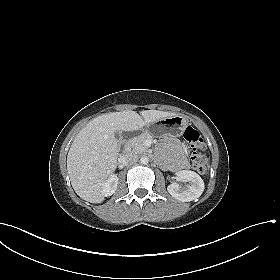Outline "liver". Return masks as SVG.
Returning a JSON list of instances; mask_svg holds the SVG:
<instances>
[{
  "instance_id": "1",
  "label": "liver",
  "mask_w": 280,
  "mask_h": 280,
  "mask_svg": "<svg viewBox=\"0 0 280 280\" xmlns=\"http://www.w3.org/2000/svg\"><path fill=\"white\" fill-rule=\"evenodd\" d=\"M175 113L144 110L103 114L91 120L75 137L68 155L67 171L77 195L90 202L104 200L102 185L117 168V131H137Z\"/></svg>"
}]
</instances>
